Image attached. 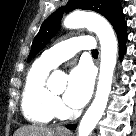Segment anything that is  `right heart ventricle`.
I'll list each match as a JSON object with an SVG mask.
<instances>
[{
  "instance_id": "e07e8e85",
  "label": "right heart ventricle",
  "mask_w": 136,
  "mask_h": 136,
  "mask_svg": "<svg viewBox=\"0 0 136 136\" xmlns=\"http://www.w3.org/2000/svg\"><path fill=\"white\" fill-rule=\"evenodd\" d=\"M52 68L41 60L36 61L27 73L22 92V111L33 123H49L56 115L55 97L46 85Z\"/></svg>"
}]
</instances>
